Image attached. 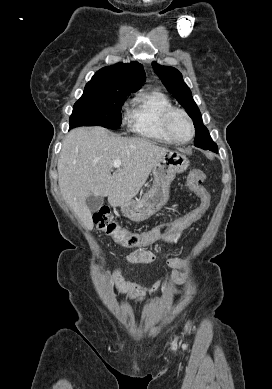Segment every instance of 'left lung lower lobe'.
<instances>
[{
    "label": "left lung lower lobe",
    "mask_w": 272,
    "mask_h": 389,
    "mask_svg": "<svg viewBox=\"0 0 272 389\" xmlns=\"http://www.w3.org/2000/svg\"><path fill=\"white\" fill-rule=\"evenodd\" d=\"M215 152H218V148L215 150Z\"/></svg>",
    "instance_id": "left-lung-lower-lobe-1"
}]
</instances>
